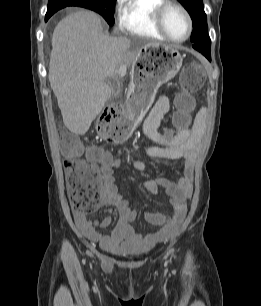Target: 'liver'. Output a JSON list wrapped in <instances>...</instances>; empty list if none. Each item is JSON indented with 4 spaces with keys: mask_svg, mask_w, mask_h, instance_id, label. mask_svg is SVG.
Instances as JSON below:
<instances>
[{
    "mask_svg": "<svg viewBox=\"0 0 261 306\" xmlns=\"http://www.w3.org/2000/svg\"><path fill=\"white\" fill-rule=\"evenodd\" d=\"M158 45L104 34L100 17L92 11L63 18L53 32L48 78L64 125L85 134L111 97L106 79L131 65L144 48Z\"/></svg>",
    "mask_w": 261,
    "mask_h": 306,
    "instance_id": "obj_1",
    "label": "liver"
}]
</instances>
